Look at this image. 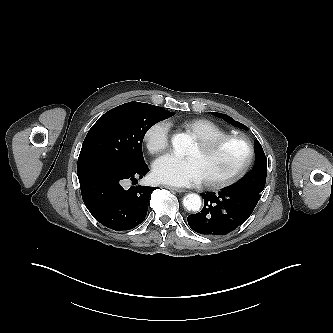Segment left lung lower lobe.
Returning <instances> with one entry per match:
<instances>
[{"label":"left lung lower lobe","mask_w":333,"mask_h":333,"mask_svg":"<svg viewBox=\"0 0 333 333\" xmlns=\"http://www.w3.org/2000/svg\"><path fill=\"white\" fill-rule=\"evenodd\" d=\"M204 208L201 212L189 215V226L197 233L206 236L227 234L243 224L252 214L260 196L230 187L218 193L201 194Z\"/></svg>","instance_id":"1"}]
</instances>
